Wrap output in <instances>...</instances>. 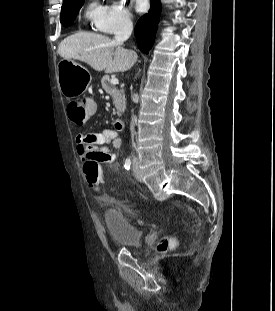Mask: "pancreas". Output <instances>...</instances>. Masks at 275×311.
Instances as JSON below:
<instances>
[{
    "label": "pancreas",
    "instance_id": "cf45deb5",
    "mask_svg": "<svg viewBox=\"0 0 275 311\" xmlns=\"http://www.w3.org/2000/svg\"><path fill=\"white\" fill-rule=\"evenodd\" d=\"M101 84L103 89L107 94H109L113 99V104L116 108V113L121 115L126 108V100L125 94L123 90H118L114 85L111 83V79L108 75H105L102 80Z\"/></svg>",
    "mask_w": 275,
    "mask_h": 311
}]
</instances>
